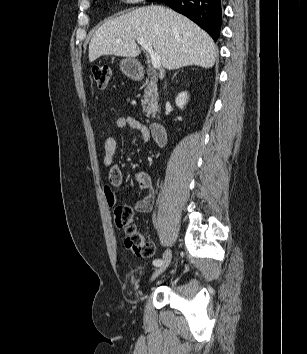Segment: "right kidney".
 I'll list each match as a JSON object with an SVG mask.
<instances>
[{
  "mask_svg": "<svg viewBox=\"0 0 307 354\" xmlns=\"http://www.w3.org/2000/svg\"><path fill=\"white\" fill-rule=\"evenodd\" d=\"M187 101H188L187 92L179 93L175 99V103H176L177 107H179L180 109H183V107L187 103Z\"/></svg>",
  "mask_w": 307,
  "mask_h": 354,
  "instance_id": "1",
  "label": "right kidney"
}]
</instances>
